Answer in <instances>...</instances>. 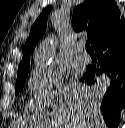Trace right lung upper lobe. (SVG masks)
Here are the masks:
<instances>
[{"instance_id": "obj_1", "label": "right lung upper lobe", "mask_w": 125, "mask_h": 128, "mask_svg": "<svg viewBox=\"0 0 125 128\" xmlns=\"http://www.w3.org/2000/svg\"><path fill=\"white\" fill-rule=\"evenodd\" d=\"M51 9L52 6L45 8L33 24L23 49V58L18 72L30 68V53L33 52L45 32L47 17ZM124 22L125 19L120 17L119 8L114 0H85L83 4L75 8L72 18V25L76 32L87 29V36L92 47Z\"/></svg>"}]
</instances>
